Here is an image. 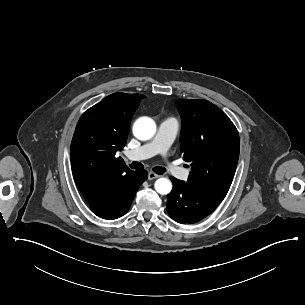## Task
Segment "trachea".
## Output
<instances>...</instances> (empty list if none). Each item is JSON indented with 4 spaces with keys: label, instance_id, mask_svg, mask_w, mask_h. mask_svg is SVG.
Segmentation results:
<instances>
[{
    "label": "trachea",
    "instance_id": "3493384b",
    "mask_svg": "<svg viewBox=\"0 0 305 305\" xmlns=\"http://www.w3.org/2000/svg\"><path fill=\"white\" fill-rule=\"evenodd\" d=\"M130 168L132 169H143L144 165L141 162H132L130 164ZM152 170L157 173L158 175H162L166 172V168L165 167H161V166H155L152 168Z\"/></svg>",
    "mask_w": 305,
    "mask_h": 305
}]
</instances>
